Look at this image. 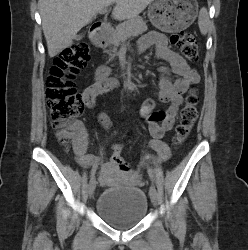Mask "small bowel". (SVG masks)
Masks as SVG:
<instances>
[{
  "label": "small bowel",
  "instance_id": "c3829d8e",
  "mask_svg": "<svg viewBox=\"0 0 248 250\" xmlns=\"http://www.w3.org/2000/svg\"><path fill=\"white\" fill-rule=\"evenodd\" d=\"M148 49H153L154 56L168 63L169 67L161 68V79L157 100L167 103L168 107L164 110L156 109V100H146L140 109V113L148 124L149 132L152 136L151 147L157 152V157L145 155L140 162L138 169L130 172L117 170L112 163H103L101 156L86 154L88 146V134L85 126L80 121L72 124L74 131L73 149L80 165L99 171L100 182L105 184L112 177L128 178L136 183L140 180V169L148 164L156 165L164 163L170 158V148L162 140L164 135L170 131L174 124L183 103V94L188 89L199 82L198 72L191 68L184 58L168 46L167 37L159 32H148L138 42L137 51L142 53ZM179 75V78L172 81L170 73ZM117 86V82L108 77V68L101 66L97 69L95 82L85 88L82 93L83 103L88 108L95 106L96 98ZM99 123L105 129L110 128V122L104 113L98 115Z\"/></svg>",
  "mask_w": 248,
  "mask_h": 250
}]
</instances>
